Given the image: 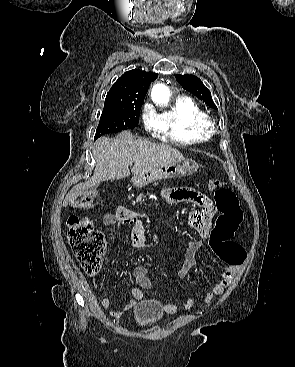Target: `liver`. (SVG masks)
I'll return each mask as SVG.
<instances>
[{"label":"liver","mask_w":295,"mask_h":367,"mask_svg":"<svg viewBox=\"0 0 295 367\" xmlns=\"http://www.w3.org/2000/svg\"><path fill=\"white\" fill-rule=\"evenodd\" d=\"M95 170L92 178L74 186L66 195L64 206L74 203L86 189L106 180H117L130 176L129 166L134 176L147 173L176 160L183 155L174 147L166 144L151 143L135 139L131 132L123 131L115 138L101 137L93 149Z\"/></svg>","instance_id":"6515ba94"}]
</instances>
